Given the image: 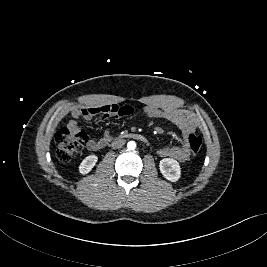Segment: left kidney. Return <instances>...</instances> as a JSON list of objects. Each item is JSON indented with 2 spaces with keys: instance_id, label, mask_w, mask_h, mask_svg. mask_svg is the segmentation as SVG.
<instances>
[{
  "instance_id": "1",
  "label": "left kidney",
  "mask_w": 267,
  "mask_h": 267,
  "mask_svg": "<svg viewBox=\"0 0 267 267\" xmlns=\"http://www.w3.org/2000/svg\"><path fill=\"white\" fill-rule=\"evenodd\" d=\"M161 174L169 181L176 182L181 175L179 163L172 158H164L159 163Z\"/></svg>"
}]
</instances>
